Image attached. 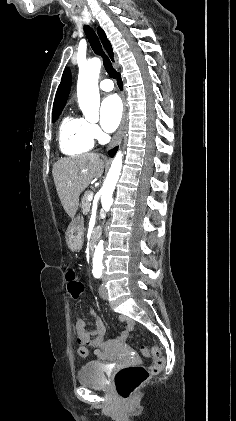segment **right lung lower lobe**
I'll return each mask as SVG.
<instances>
[{"instance_id":"1","label":"right lung lower lobe","mask_w":236,"mask_h":421,"mask_svg":"<svg viewBox=\"0 0 236 421\" xmlns=\"http://www.w3.org/2000/svg\"><path fill=\"white\" fill-rule=\"evenodd\" d=\"M117 83H118V86L120 88H122V81H121V78H120V74L118 75ZM117 149H118V147H115L114 149L110 150L109 151V156L113 157L115 155Z\"/></svg>"}]
</instances>
